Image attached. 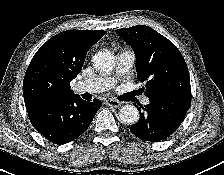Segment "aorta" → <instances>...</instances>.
<instances>
[{"label": "aorta", "mask_w": 224, "mask_h": 175, "mask_svg": "<svg viewBox=\"0 0 224 175\" xmlns=\"http://www.w3.org/2000/svg\"><path fill=\"white\" fill-rule=\"evenodd\" d=\"M93 66L99 71L110 72L116 66V60L109 51L96 53L92 59ZM139 111L134 105H125L119 111V119L125 124H133L139 120Z\"/></svg>", "instance_id": "aorta-1"}]
</instances>
